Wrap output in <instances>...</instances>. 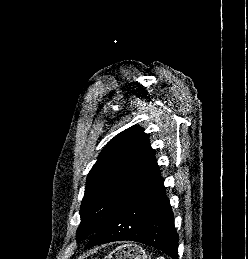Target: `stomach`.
I'll return each mask as SVG.
<instances>
[{
  "mask_svg": "<svg viewBox=\"0 0 248 259\" xmlns=\"http://www.w3.org/2000/svg\"><path fill=\"white\" fill-rule=\"evenodd\" d=\"M105 259H148V255L141 246L124 244L118 246Z\"/></svg>",
  "mask_w": 248,
  "mask_h": 259,
  "instance_id": "1",
  "label": "stomach"
}]
</instances>
